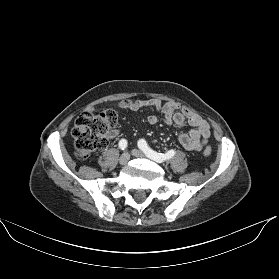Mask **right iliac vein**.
<instances>
[{
  "label": "right iliac vein",
  "mask_w": 279,
  "mask_h": 279,
  "mask_svg": "<svg viewBox=\"0 0 279 279\" xmlns=\"http://www.w3.org/2000/svg\"><path fill=\"white\" fill-rule=\"evenodd\" d=\"M129 159H130L129 153L125 152L121 155L119 162L121 165H125L129 161Z\"/></svg>",
  "instance_id": "63e3f726"
}]
</instances>
